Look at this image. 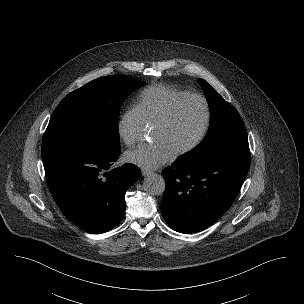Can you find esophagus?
I'll use <instances>...</instances> for the list:
<instances>
[{
  "mask_svg": "<svg viewBox=\"0 0 304 304\" xmlns=\"http://www.w3.org/2000/svg\"><path fill=\"white\" fill-rule=\"evenodd\" d=\"M141 172H142L143 176H148V175L152 174V171L146 170V169H142Z\"/></svg>",
  "mask_w": 304,
  "mask_h": 304,
  "instance_id": "esophagus-1",
  "label": "esophagus"
}]
</instances>
